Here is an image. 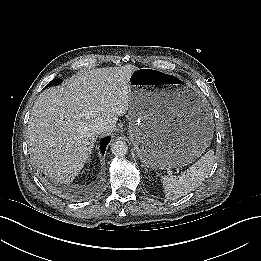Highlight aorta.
Segmentation results:
<instances>
[{"label":"aorta","mask_w":261,"mask_h":261,"mask_svg":"<svg viewBox=\"0 0 261 261\" xmlns=\"http://www.w3.org/2000/svg\"><path fill=\"white\" fill-rule=\"evenodd\" d=\"M111 151L116 157H123L128 151V145L125 141L117 140L112 144Z\"/></svg>","instance_id":"762f6f07"}]
</instances>
